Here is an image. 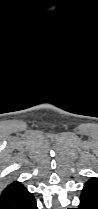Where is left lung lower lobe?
Here are the masks:
<instances>
[{
	"mask_svg": "<svg viewBox=\"0 0 98 209\" xmlns=\"http://www.w3.org/2000/svg\"><path fill=\"white\" fill-rule=\"evenodd\" d=\"M77 209H98V179L91 178L82 189Z\"/></svg>",
	"mask_w": 98,
	"mask_h": 209,
	"instance_id": "obj_1",
	"label": "left lung lower lobe"
}]
</instances>
